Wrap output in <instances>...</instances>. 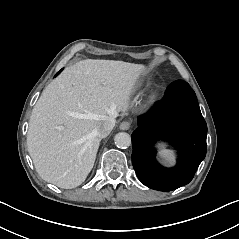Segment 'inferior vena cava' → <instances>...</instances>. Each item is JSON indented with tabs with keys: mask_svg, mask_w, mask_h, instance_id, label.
<instances>
[{
	"mask_svg": "<svg viewBox=\"0 0 239 239\" xmlns=\"http://www.w3.org/2000/svg\"><path fill=\"white\" fill-rule=\"evenodd\" d=\"M116 117H110L106 121H104L101 126L97 130V136L100 138H104L110 134V132L113 130V128L116 125Z\"/></svg>",
	"mask_w": 239,
	"mask_h": 239,
	"instance_id": "1",
	"label": "inferior vena cava"
}]
</instances>
